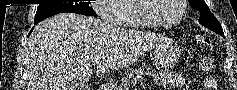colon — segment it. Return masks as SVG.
<instances>
[{"label": "colon", "instance_id": "1", "mask_svg": "<svg viewBox=\"0 0 237 90\" xmlns=\"http://www.w3.org/2000/svg\"><path fill=\"white\" fill-rule=\"evenodd\" d=\"M200 42L204 45H207V46H211L212 45V41L209 37L207 36H201L200 37Z\"/></svg>", "mask_w": 237, "mask_h": 90}]
</instances>
